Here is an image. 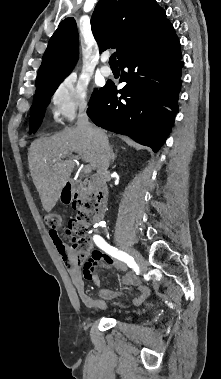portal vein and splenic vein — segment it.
<instances>
[{
	"label": "portal vein and splenic vein",
	"instance_id": "1",
	"mask_svg": "<svg viewBox=\"0 0 221 379\" xmlns=\"http://www.w3.org/2000/svg\"><path fill=\"white\" fill-rule=\"evenodd\" d=\"M77 160H78V158L73 159V161H77ZM83 172H84L85 174L90 173V172H91V165H86V166H84V168H83Z\"/></svg>",
	"mask_w": 221,
	"mask_h": 379
}]
</instances>
